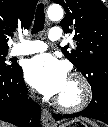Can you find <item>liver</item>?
I'll list each match as a JSON object with an SVG mask.
<instances>
[{
	"mask_svg": "<svg viewBox=\"0 0 108 127\" xmlns=\"http://www.w3.org/2000/svg\"><path fill=\"white\" fill-rule=\"evenodd\" d=\"M88 122H90V121H88ZM0 127H12V125L7 124V123H5V122H1V123H0Z\"/></svg>",
	"mask_w": 108,
	"mask_h": 127,
	"instance_id": "liver-1",
	"label": "liver"
}]
</instances>
